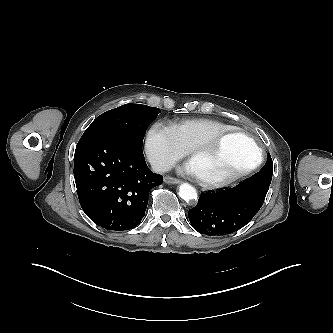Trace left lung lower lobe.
<instances>
[{
    "instance_id": "left-lung-lower-lobe-1",
    "label": "left lung lower lobe",
    "mask_w": 333,
    "mask_h": 333,
    "mask_svg": "<svg viewBox=\"0 0 333 333\" xmlns=\"http://www.w3.org/2000/svg\"><path fill=\"white\" fill-rule=\"evenodd\" d=\"M271 180V173H259L236 187L203 193L189 210L191 225L199 233L212 236L239 230L263 205Z\"/></svg>"
}]
</instances>
